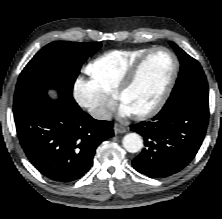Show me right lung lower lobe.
<instances>
[{"instance_id":"1","label":"right lung lower lobe","mask_w":222,"mask_h":219,"mask_svg":"<svg viewBox=\"0 0 222 219\" xmlns=\"http://www.w3.org/2000/svg\"><path fill=\"white\" fill-rule=\"evenodd\" d=\"M14 111L17 134L29 161L47 178L67 183L93 165L98 145L112 137L113 124L82 111L70 92H59Z\"/></svg>"}]
</instances>
